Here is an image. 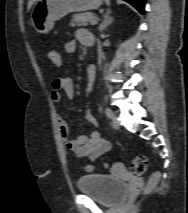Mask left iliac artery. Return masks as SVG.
Instances as JSON below:
<instances>
[{
  "label": "left iliac artery",
  "instance_id": "44dca946",
  "mask_svg": "<svg viewBox=\"0 0 188 213\" xmlns=\"http://www.w3.org/2000/svg\"><path fill=\"white\" fill-rule=\"evenodd\" d=\"M105 113H106V115H107L108 118H113L114 114H113V111L110 108L107 107L105 109Z\"/></svg>",
  "mask_w": 188,
  "mask_h": 213
}]
</instances>
